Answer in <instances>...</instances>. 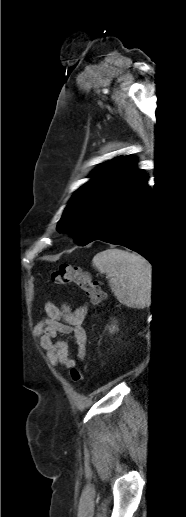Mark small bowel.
Wrapping results in <instances>:
<instances>
[{"label": "small bowel", "mask_w": 186, "mask_h": 517, "mask_svg": "<svg viewBox=\"0 0 186 517\" xmlns=\"http://www.w3.org/2000/svg\"><path fill=\"white\" fill-rule=\"evenodd\" d=\"M46 318L38 324L36 332L40 335V343L52 366H64L68 369L76 365L64 340H57L58 334L74 336L78 357L83 359L86 352L87 335L84 328L87 315L86 307L71 310L68 306H56L52 302L45 305Z\"/></svg>", "instance_id": "1"}]
</instances>
